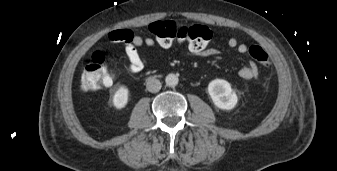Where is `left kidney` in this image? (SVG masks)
I'll return each instance as SVG.
<instances>
[{
    "mask_svg": "<svg viewBox=\"0 0 337 171\" xmlns=\"http://www.w3.org/2000/svg\"><path fill=\"white\" fill-rule=\"evenodd\" d=\"M208 93L215 106L223 110L233 109L238 102L230 83L223 79L212 80L208 85Z\"/></svg>",
    "mask_w": 337,
    "mask_h": 171,
    "instance_id": "obj_1",
    "label": "left kidney"
}]
</instances>
